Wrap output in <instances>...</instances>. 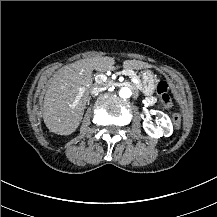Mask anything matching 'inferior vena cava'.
<instances>
[{"label": "inferior vena cava", "instance_id": "inferior-vena-cava-1", "mask_svg": "<svg viewBox=\"0 0 217 217\" xmlns=\"http://www.w3.org/2000/svg\"><path fill=\"white\" fill-rule=\"evenodd\" d=\"M106 90V87H102V85L99 84H95L92 88H91V93H97L100 91Z\"/></svg>", "mask_w": 217, "mask_h": 217}]
</instances>
